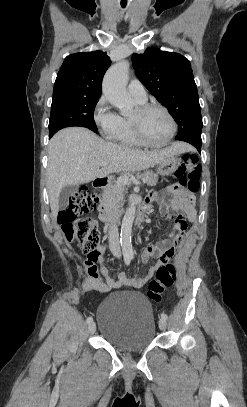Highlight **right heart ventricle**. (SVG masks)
Segmentation results:
<instances>
[{"label": "right heart ventricle", "instance_id": "1", "mask_svg": "<svg viewBox=\"0 0 247 407\" xmlns=\"http://www.w3.org/2000/svg\"><path fill=\"white\" fill-rule=\"evenodd\" d=\"M139 105H142L144 103L137 102ZM115 142L127 146V147H139L141 144L135 139L129 118L127 117H121L119 120V125L117 130L115 131L113 137L111 138Z\"/></svg>", "mask_w": 247, "mask_h": 407}]
</instances>
